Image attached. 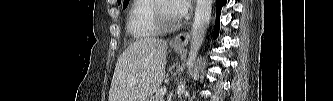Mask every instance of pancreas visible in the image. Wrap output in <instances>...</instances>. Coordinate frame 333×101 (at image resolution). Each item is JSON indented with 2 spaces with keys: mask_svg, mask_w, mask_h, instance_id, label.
I'll use <instances>...</instances> for the list:
<instances>
[{
  "mask_svg": "<svg viewBox=\"0 0 333 101\" xmlns=\"http://www.w3.org/2000/svg\"><path fill=\"white\" fill-rule=\"evenodd\" d=\"M154 101H163V95H161V89H159L156 92V95L154 97Z\"/></svg>",
  "mask_w": 333,
  "mask_h": 101,
  "instance_id": "pancreas-1",
  "label": "pancreas"
}]
</instances>
